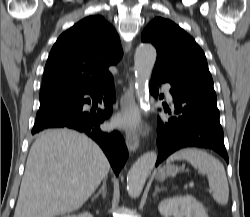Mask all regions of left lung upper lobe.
I'll list each match as a JSON object with an SVG mask.
<instances>
[{"instance_id": "left-lung-upper-lobe-1", "label": "left lung upper lobe", "mask_w": 250, "mask_h": 217, "mask_svg": "<svg viewBox=\"0 0 250 217\" xmlns=\"http://www.w3.org/2000/svg\"><path fill=\"white\" fill-rule=\"evenodd\" d=\"M142 42L157 50L153 74L169 82L213 88L204 52L182 28L169 19L157 17L143 30Z\"/></svg>"}]
</instances>
